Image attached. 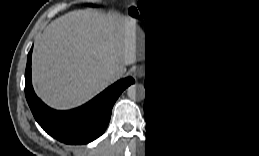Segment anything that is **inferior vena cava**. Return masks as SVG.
I'll list each match as a JSON object with an SVG mask.
<instances>
[{"instance_id": "inferior-vena-cava-1", "label": "inferior vena cava", "mask_w": 259, "mask_h": 156, "mask_svg": "<svg viewBox=\"0 0 259 156\" xmlns=\"http://www.w3.org/2000/svg\"><path fill=\"white\" fill-rule=\"evenodd\" d=\"M121 75H122L121 72H119V71H114V72H111V73H110V78H111V79H115V78L120 77Z\"/></svg>"}]
</instances>
